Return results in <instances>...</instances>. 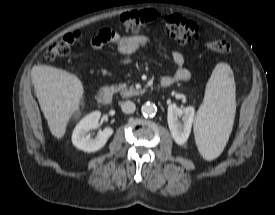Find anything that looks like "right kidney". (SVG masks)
I'll use <instances>...</instances> for the list:
<instances>
[{"mask_svg":"<svg viewBox=\"0 0 275 215\" xmlns=\"http://www.w3.org/2000/svg\"><path fill=\"white\" fill-rule=\"evenodd\" d=\"M101 113L94 111L85 116L75 127L72 134L73 145L85 152H95L101 149L107 142L108 138L113 134L112 128H105L100 131L95 138L87 133L98 126Z\"/></svg>","mask_w":275,"mask_h":215,"instance_id":"obj_1","label":"right kidney"}]
</instances>
